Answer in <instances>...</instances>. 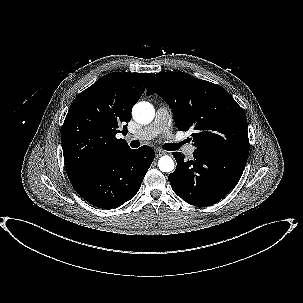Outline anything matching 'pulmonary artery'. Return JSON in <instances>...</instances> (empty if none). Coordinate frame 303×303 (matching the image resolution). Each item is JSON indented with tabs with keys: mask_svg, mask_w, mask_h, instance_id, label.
<instances>
[{
	"mask_svg": "<svg viewBox=\"0 0 303 303\" xmlns=\"http://www.w3.org/2000/svg\"><path fill=\"white\" fill-rule=\"evenodd\" d=\"M168 120H169V111L166 107H160L157 109L154 121L140 130L135 135H129V140H140V141H147L154 138L159 133H165L167 137L170 136L168 131ZM196 147L193 144L186 145L183 148V152L185 155L191 157L194 154Z\"/></svg>",
	"mask_w": 303,
	"mask_h": 303,
	"instance_id": "e3ab8cb5",
	"label": "pulmonary artery"
}]
</instances>
